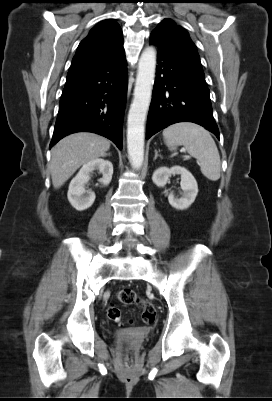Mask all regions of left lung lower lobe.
Returning <instances> with one entry per match:
<instances>
[{
    "instance_id": "0a47b994",
    "label": "left lung lower lobe",
    "mask_w": 272,
    "mask_h": 401,
    "mask_svg": "<svg viewBox=\"0 0 272 401\" xmlns=\"http://www.w3.org/2000/svg\"><path fill=\"white\" fill-rule=\"evenodd\" d=\"M150 43L158 47V66L146 139L178 122L199 124L219 139L200 60L173 49L153 33Z\"/></svg>"
}]
</instances>
